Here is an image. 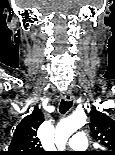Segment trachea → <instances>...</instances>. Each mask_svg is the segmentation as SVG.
<instances>
[{
    "label": "trachea",
    "mask_w": 115,
    "mask_h": 155,
    "mask_svg": "<svg viewBox=\"0 0 115 155\" xmlns=\"http://www.w3.org/2000/svg\"><path fill=\"white\" fill-rule=\"evenodd\" d=\"M72 106V101L62 100L60 103L59 111L61 114H65Z\"/></svg>",
    "instance_id": "obj_1"
}]
</instances>
